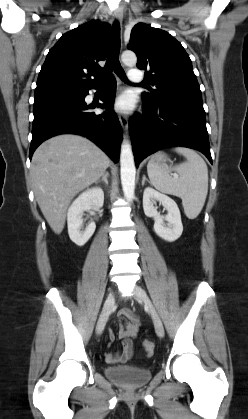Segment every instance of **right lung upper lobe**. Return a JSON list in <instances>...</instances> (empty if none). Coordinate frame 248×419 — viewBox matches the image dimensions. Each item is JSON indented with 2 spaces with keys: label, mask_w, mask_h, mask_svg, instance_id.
<instances>
[{
  "label": "right lung upper lobe",
  "mask_w": 248,
  "mask_h": 419,
  "mask_svg": "<svg viewBox=\"0 0 248 419\" xmlns=\"http://www.w3.org/2000/svg\"><path fill=\"white\" fill-rule=\"evenodd\" d=\"M110 39V25L92 20L61 36L37 79L35 96L83 92L97 85ZM94 79H91V77Z\"/></svg>",
  "instance_id": "1"
}]
</instances>
